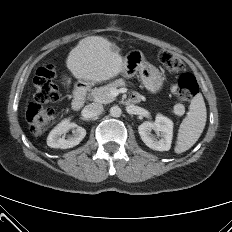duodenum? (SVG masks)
I'll return each instance as SVG.
<instances>
[{
	"mask_svg": "<svg viewBox=\"0 0 232 232\" xmlns=\"http://www.w3.org/2000/svg\"><path fill=\"white\" fill-rule=\"evenodd\" d=\"M87 87L86 86H79L76 89L74 100H73V109L80 110L85 102L86 94H87ZM139 100V99H138ZM138 100L133 101L132 97L130 98L131 103H136Z\"/></svg>",
	"mask_w": 232,
	"mask_h": 232,
	"instance_id": "1",
	"label": "duodenum"
}]
</instances>
